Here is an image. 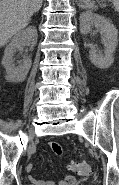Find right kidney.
<instances>
[{
    "mask_svg": "<svg viewBox=\"0 0 119 185\" xmlns=\"http://www.w3.org/2000/svg\"><path fill=\"white\" fill-rule=\"evenodd\" d=\"M37 37L36 28L30 26L18 32L7 45L2 59V65L7 73V81L19 83L26 79L32 63L30 56H25L23 61L18 62V66L13 63V56L17 50L22 49L26 44L35 46L37 44Z\"/></svg>",
    "mask_w": 119,
    "mask_h": 185,
    "instance_id": "ca27d5eb",
    "label": "right kidney"
}]
</instances>
